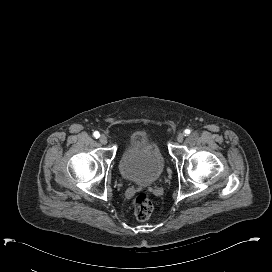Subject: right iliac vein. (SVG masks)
<instances>
[{"label": "right iliac vein", "instance_id": "63e3f726", "mask_svg": "<svg viewBox=\"0 0 272 272\" xmlns=\"http://www.w3.org/2000/svg\"><path fill=\"white\" fill-rule=\"evenodd\" d=\"M99 142H100L101 144L105 145V144H107V142H108V138H107L104 134H102V135L99 137Z\"/></svg>", "mask_w": 272, "mask_h": 272}]
</instances>
